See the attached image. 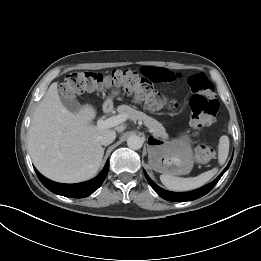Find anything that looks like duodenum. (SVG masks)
<instances>
[{"label":"duodenum","mask_w":261,"mask_h":261,"mask_svg":"<svg viewBox=\"0 0 261 261\" xmlns=\"http://www.w3.org/2000/svg\"><path fill=\"white\" fill-rule=\"evenodd\" d=\"M110 109H111L110 105L106 104V105L104 106V109H103V110H104L105 113H107V112L110 111Z\"/></svg>","instance_id":"410a0bca"}]
</instances>
